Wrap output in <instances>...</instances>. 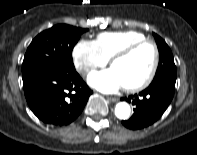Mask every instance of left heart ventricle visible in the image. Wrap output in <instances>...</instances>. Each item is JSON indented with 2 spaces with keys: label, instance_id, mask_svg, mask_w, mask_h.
Returning a JSON list of instances; mask_svg holds the SVG:
<instances>
[{
  "label": "left heart ventricle",
  "instance_id": "obj_1",
  "mask_svg": "<svg viewBox=\"0 0 197 155\" xmlns=\"http://www.w3.org/2000/svg\"><path fill=\"white\" fill-rule=\"evenodd\" d=\"M154 59L152 46L144 45L130 55L115 61L112 68L119 75L123 86L140 83L148 75Z\"/></svg>",
  "mask_w": 197,
  "mask_h": 155
}]
</instances>
